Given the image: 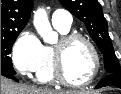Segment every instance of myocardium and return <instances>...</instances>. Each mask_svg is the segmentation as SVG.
<instances>
[{
  "label": "myocardium",
  "mask_w": 121,
  "mask_h": 94,
  "mask_svg": "<svg viewBox=\"0 0 121 94\" xmlns=\"http://www.w3.org/2000/svg\"><path fill=\"white\" fill-rule=\"evenodd\" d=\"M74 41H82L89 48L91 55L94 60V71L91 77L84 82L75 83L71 81L65 73L64 69V52L68 45H70ZM52 58H53V75L57 82L69 86V87H84L88 86L95 81L97 78L100 69H101V61L100 56L94 46V44L84 35L78 33H69L63 35L58 43L52 48Z\"/></svg>",
  "instance_id": "f54148a6"
}]
</instances>
